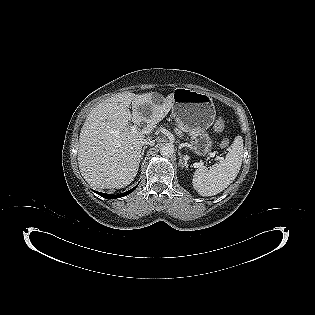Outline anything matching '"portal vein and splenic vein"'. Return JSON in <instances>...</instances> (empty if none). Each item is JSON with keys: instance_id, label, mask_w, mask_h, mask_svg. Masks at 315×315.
Segmentation results:
<instances>
[{"instance_id": "portal-vein-and-splenic-vein-1", "label": "portal vein and splenic vein", "mask_w": 315, "mask_h": 315, "mask_svg": "<svg viewBox=\"0 0 315 315\" xmlns=\"http://www.w3.org/2000/svg\"><path fill=\"white\" fill-rule=\"evenodd\" d=\"M131 129H132L133 131H136V130H137L135 125L131 126ZM217 159H218V160H223V158H222V157H219V156L217 157Z\"/></svg>"}]
</instances>
